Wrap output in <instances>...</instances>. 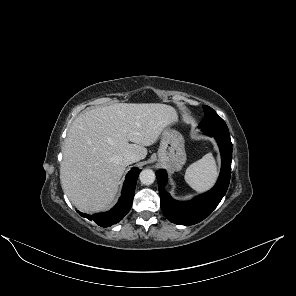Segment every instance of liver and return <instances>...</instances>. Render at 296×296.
<instances>
[{
	"mask_svg": "<svg viewBox=\"0 0 296 296\" xmlns=\"http://www.w3.org/2000/svg\"><path fill=\"white\" fill-rule=\"evenodd\" d=\"M176 110L160 103H118L95 108L72 123L63 148L60 180L73 205L84 212L106 208L117 194L128 153L144 159ZM131 142V143H130Z\"/></svg>",
	"mask_w": 296,
	"mask_h": 296,
	"instance_id": "liver-1",
	"label": "liver"
}]
</instances>
